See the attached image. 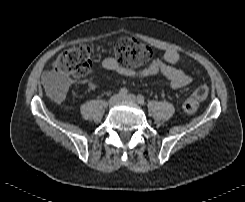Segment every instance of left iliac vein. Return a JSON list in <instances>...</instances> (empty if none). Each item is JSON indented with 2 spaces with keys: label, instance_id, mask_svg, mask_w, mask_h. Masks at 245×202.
<instances>
[{
  "label": "left iliac vein",
  "instance_id": "4c4485c4",
  "mask_svg": "<svg viewBox=\"0 0 245 202\" xmlns=\"http://www.w3.org/2000/svg\"><path fill=\"white\" fill-rule=\"evenodd\" d=\"M123 101H128V102H136L137 98L133 94H128L122 97Z\"/></svg>",
  "mask_w": 245,
  "mask_h": 202
}]
</instances>
